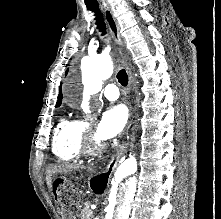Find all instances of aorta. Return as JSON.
<instances>
[{
	"label": "aorta",
	"instance_id": "aorta-1",
	"mask_svg": "<svg viewBox=\"0 0 221 219\" xmlns=\"http://www.w3.org/2000/svg\"><path fill=\"white\" fill-rule=\"evenodd\" d=\"M83 69L90 74V94L101 90L102 80L108 79L113 73V61L109 55L102 54L82 62ZM84 112H90V98L83 99L81 104ZM141 166L137 157L122 162L115 171L109 194L107 218L128 219L131 204L136 194Z\"/></svg>",
	"mask_w": 221,
	"mask_h": 219
}]
</instances>
